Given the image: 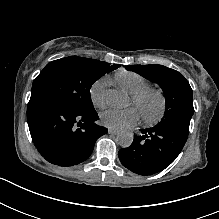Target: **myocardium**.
I'll use <instances>...</instances> for the list:
<instances>
[{"mask_svg":"<svg viewBox=\"0 0 219 219\" xmlns=\"http://www.w3.org/2000/svg\"><path fill=\"white\" fill-rule=\"evenodd\" d=\"M148 95H155L160 101V109L158 114L153 118H148L141 114V119L143 123L147 126H155L159 124L165 117L167 111V98L165 93L154 87H145L131 94V99L139 101Z\"/></svg>","mask_w":219,"mask_h":219,"instance_id":"1","label":"myocardium"}]
</instances>
